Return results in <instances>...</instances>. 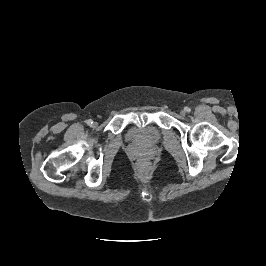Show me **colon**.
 Instances as JSON below:
<instances>
[{
  "label": "colon",
  "mask_w": 266,
  "mask_h": 266,
  "mask_svg": "<svg viewBox=\"0 0 266 266\" xmlns=\"http://www.w3.org/2000/svg\"><path fill=\"white\" fill-rule=\"evenodd\" d=\"M138 169L143 172V173H146L150 170V163L145 160V159H141L139 162H138Z\"/></svg>",
  "instance_id": "obj_1"
}]
</instances>
